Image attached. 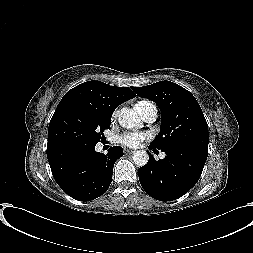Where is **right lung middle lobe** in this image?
Segmentation results:
<instances>
[{
  "mask_svg": "<svg viewBox=\"0 0 253 253\" xmlns=\"http://www.w3.org/2000/svg\"><path fill=\"white\" fill-rule=\"evenodd\" d=\"M112 114L97 108L66 103L57 106L49 124L47 149L66 144H97L110 128Z\"/></svg>",
  "mask_w": 253,
  "mask_h": 253,
  "instance_id": "1",
  "label": "right lung middle lobe"
}]
</instances>
